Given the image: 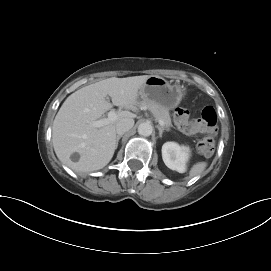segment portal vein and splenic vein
I'll list each match as a JSON object with an SVG mask.
<instances>
[{
	"mask_svg": "<svg viewBox=\"0 0 271 271\" xmlns=\"http://www.w3.org/2000/svg\"><path fill=\"white\" fill-rule=\"evenodd\" d=\"M118 118V114L117 112H115L114 110H111L108 112V117L107 118H103V119H99L97 121H93L90 123V125L100 128L104 125H107L111 122H114L116 119ZM160 126L164 127V122L162 120H158Z\"/></svg>",
	"mask_w": 271,
	"mask_h": 271,
	"instance_id": "portal-vein-and-splenic-vein-1",
	"label": "portal vein and splenic vein"
}]
</instances>
